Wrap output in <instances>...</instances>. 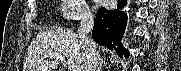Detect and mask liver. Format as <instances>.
I'll use <instances>...</instances> for the list:
<instances>
[{
	"mask_svg": "<svg viewBox=\"0 0 181 71\" xmlns=\"http://www.w3.org/2000/svg\"><path fill=\"white\" fill-rule=\"evenodd\" d=\"M53 53L61 54L67 59L68 71H84L85 49L80 43L78 34L65 29L39 33L28 48L23 71L56 69L59 61L51 56Z\"/></svg>",
	"mask_w": 181,
	"mask_h": 71,
	"instance_id": "liver-1",
	"label": "liver"
}]
</instances>
